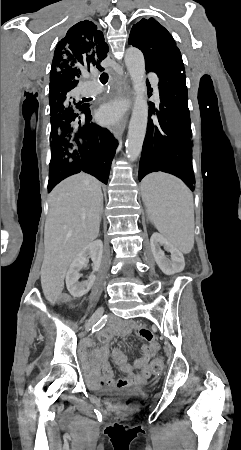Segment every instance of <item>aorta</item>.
Here are the masks:
<instances>
[{
    "label": "aorta",
    "mask_w": 241,
    "mask_h": 450,
    "mask_svg": "<svg viewBox=\"0 0 241 450\" xmlns=\"http://www.w3.org/2000/svg\"><path fill=\"white\" fill-rule=\"evenodd\" d=\"M125 64L134 87V104L126 141V155L135 161L142 151L148 123L145 61L140 50L130 47L125 53Z\"/></svg>",
    "instance_id": "aorta-1"
}]
</instances>
